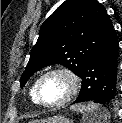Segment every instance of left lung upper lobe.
Instances as JSON below:
<instances>
[{
	"instance_id": "5c2ea615",
	"label": "left lung upper lobe",
	"mask_w": 122,
	"mask_h": 123,
	"mask_svg": "<svg viewBox=\"0 0 122 123\" xmlns=\"http://www.w3.org/2000/svg\"><path fill=\"white\" fill-rule=\"evenodd\" d=\"M113 30L97 0H66L42 24L20 83L45 66L61 64L80 76L88 60Z\"/></svg>"
}]
</instances>
